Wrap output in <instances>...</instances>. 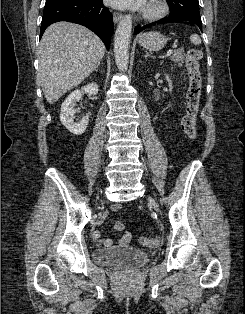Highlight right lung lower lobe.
<instances>
[{"instance_id": "obj_1", "label": "right lung lower lobe", "mask_w": 245, "mask_h": 314, "mask_svg": "<svg viewBox=\"0 0 245 314\" xmlns=\"http://www.w3.org/2000/svg\"><path fill=\"white\" fill-rule=\"evenodd\" d=\"M68 21L81 24L95 32L110 47L114 30L112 14L102 0H46L40 37L52 23Z\"/></svg>"}]
</instances>
